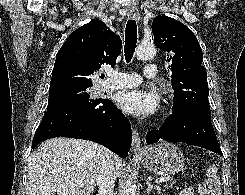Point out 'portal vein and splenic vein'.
Segmentation results:
<instances>
[{
	"mask_svg": "<svg viewBox=\"0 0 245 195\" xmlns=\"http://www.w3.org/2000/svg\"><path fill=\"white\" fill-rule=\"evenodd\" d=\"M171 179H166V178H160V179H157L155 180L156 183H162V182H167V181H170Z\"/></svg>",
	"mask_w": 245,
	"mask_h": 195,
	"instance_id": "1",
	"label": "portal vein and splenic vein"
}]
</instances>
